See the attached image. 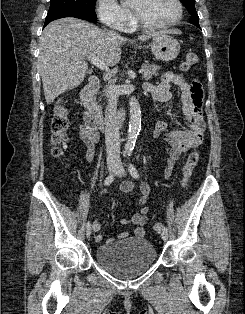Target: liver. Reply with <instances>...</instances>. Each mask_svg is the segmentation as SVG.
I'll return each instance as SVG.
<instances>
[{
    "label": "liver",
    "mask_w": 245,
    "mask_h": 314,
    "mask_svg": "<svg viewBox=\"0 0 245 314\" xmlns=\"http://www.w3.org/2000/svg\"><path fill=\"white\" fill-rule=\"evenodd\" d=\"M167 33H145L138 40L147 41ZM126 41L114 31L72 17L47 25L40 38L38 59L46 103L83 82L88 69L85 57H98L107 65H116L121 58L120 47Z\"/></svg>",
    "instance_id": "1"
}]
</instances>
